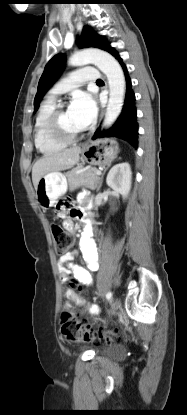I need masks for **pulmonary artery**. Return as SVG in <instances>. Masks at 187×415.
Returning a JSON list of instances; mask_svg holds the SVG:
<instances>
[{
	"label": "pulmonary artery",
	"instance_id": "1",
	"mask_svg": "<svg viewBox=\"0 0 187 415\" xmlns=\"http://www.w3.org/2000/svg\"><path fill=\"white\" fill-rule=\"evenodd\" d=\"M99 77V71L91 66L73 71L69 77L61 81L50 91V98L53 99L57 95L78 87L84 82H96L99 80Z\"/></svg>",
	"mask_w": 187,
	"mask_h": 415
}]
</instances>
